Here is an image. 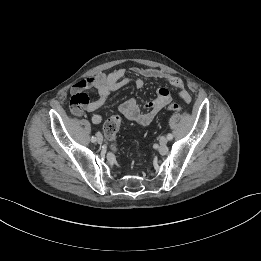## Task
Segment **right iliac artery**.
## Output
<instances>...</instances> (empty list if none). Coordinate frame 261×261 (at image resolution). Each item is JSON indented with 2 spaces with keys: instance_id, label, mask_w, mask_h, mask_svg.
<instances>
[{
  "instance_id": "1",
  "label": "right iliac artery",
  "mask_w": 261,
  "mask_h": 261,
  "mask_svg": "<svg viewBox=\"0 0 261 261\" xmlns=\"http://www.w3.org/2000/svg\"><path fill=\"white\" fill-rule=\"evenodd\" d=\"M91 141H92V142H95V141H96V137L93 136V137L91 138Z\"/></svg>"
}]
</instances>
